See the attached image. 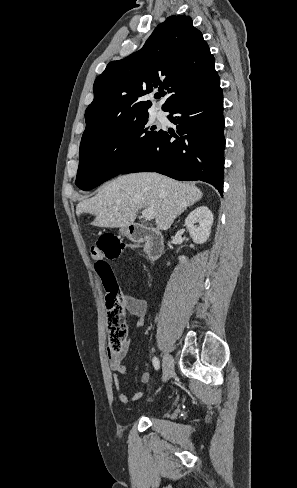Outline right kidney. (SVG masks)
<instances>
[{"mask_svg": "<svg viewBox=\"0 0 297 488\" xmlns=\"http://www.w3.org/2000/svg\"><path fill=\"white\" fill-rule=\"evenodd\" d=\"M196 222L199 223L198 227L194 225ZM212 224L213 214L207 206L195 208L185 219L186 229L189 231L192 240L197 244H203L208 240ZM186 260L185 256L179 257L181 263H185Z\"/></svg>", "mask_w": 297, "mask_h": 488, "instance_id": "1", "label": "right kidney"}]
</instances>
